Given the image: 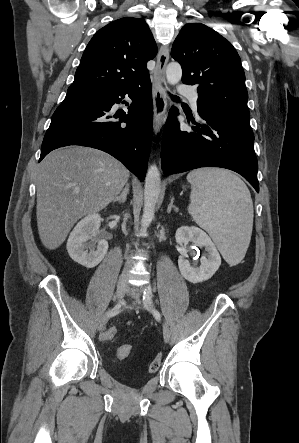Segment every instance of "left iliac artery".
<instances>
[{
  "label": "left iliac artery",
  "mask_w": 299,
  "mask_h": 443,
  "mask_svg": "<svg viewBox=\"0 0 299 443\" xmlns=\"http://www.w3.org/2000/svg\"><path fill=\"white\" fill-rule=\"evenodd\" d=\"M147 288L148 289L146 291H144L143 299L151 303V301H152L151 300V298H152L151 286L149 285Z\"/></svg>",
  "instance_id": "1"
}]
</instances>
